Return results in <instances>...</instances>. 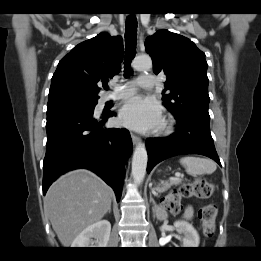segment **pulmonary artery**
I'll return each mask as SVG.
<instances>
[{
  "instance_id": "pulmonary-artery-1",
  "label": "pulmonary artery",
  "mask_w": 261,
  "mask_h": 261,
  "mask_svg": "<svg viewBox=\"0 0 261 261\" xmlns=\"http://www.w3.org/2000/svg\"><path fill=\"white\" fill-rule=\"evenodd\" d=\"M139 85L142 88L152 89L155 86V78L152 75L142 74L134 81L117 86L114 91L107 93L103 97V101L127 98L134 94L133 85Z\"/></svg>"
}]
</instances>
